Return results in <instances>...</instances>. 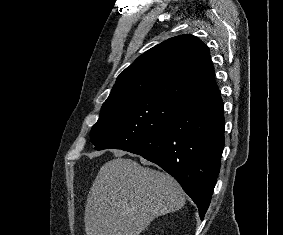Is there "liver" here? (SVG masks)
<instances>
[{"label":"liver","mask_w":283,"mask_h":235,"mask_svg":"<svg viewBox=\"0 0 283 235\" xmlns=\"http://www.w3.org/2000/svg\"><path fill=\"white\" fill-rule=\"evenodd\" d=\"M123 154L118 152L100 168L90 189L86 235H140L152 220L185 204L184 192L172 176L121 158Z\"/></svg>","instance_id":"6515ba94"}]
</instances>
